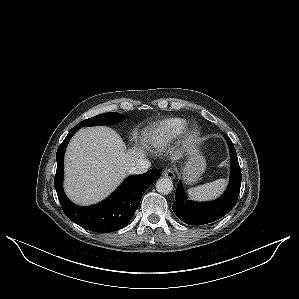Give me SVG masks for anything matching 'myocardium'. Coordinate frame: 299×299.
Wrapping results in <instances>:
<instances>
[{
    "label": "myocardium",
    "instance_id": "f54148a6",
    "mask_svg": "<svg viewBox=\"0 0 299 299\" xmlns=\"http://www.w3.org/2000/svg\"><path fill=\"white\" fill-rule=\"evenodd\" d=\"M200 136L201 132L197 125H191L187 127L186 130L183 132L180 141V147L182 151H191L199 142Z\"/></svg>",
    "mask_w": 299,
    "mask_h": 299
}]
</instances>
